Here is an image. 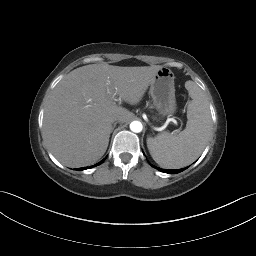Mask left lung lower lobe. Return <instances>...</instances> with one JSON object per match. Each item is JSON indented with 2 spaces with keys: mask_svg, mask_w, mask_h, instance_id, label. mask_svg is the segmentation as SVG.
<instances>
[{
  "mask_svg": "<svg viewBox=\"0 0 256 256\" xmlns=\"http://www.w3.org/2000/svg\"><path fill=\"white\" fill-rule=\"evenodd\" d=\"M154 168H156V169H158V170H160L162 172L169 173V174L179 173V172H181V171L186 169V168H183V169H177V170H169V169H161V168H158V167H155V166H154Z\"/></svg>",
  "mask_w": 256,
  "mask_h": 256,
  "instance_id": "1",
  "label": "left lung lower lobe"
}]
</instances>
